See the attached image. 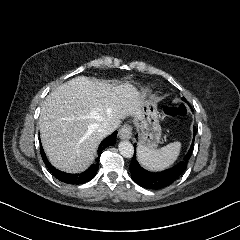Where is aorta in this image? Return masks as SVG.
Instances as JSON below:
<instances>
[{"label": "aorta", "mask_w": 240, "mask_h": 240, "mask_svg": "<svg viewBox=\"0 0 240 240\" xmlns=\"http://www.w3.org/2000/svg\"><path fill=\"white\" fill-rule=\"evenodd\" d=\"M118 150L124 157H131L133 154V145L128 140H121L118 143Z\"/></svg>", "instance_id": "aorta-1"}]
</instances>
